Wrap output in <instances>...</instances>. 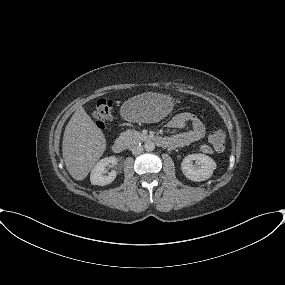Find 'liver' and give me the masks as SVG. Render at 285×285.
Here are the masks:
<instances>
[{
  "instance_id": "liver-1",
  "label": "liver",
  "mask_w": 285,
  "mask_h": 285,
  "mask_svg": "<svg viewBox=\"0 0 285 285\" xmlns=\"http://www.w3.org/2000/svg\"><path fill=\"white\" fill-rule=\"evenodd\" d=\"M106 149V139L80 106L68 122L62 142L63 159L72 178L81 181Z\"/></svg>"
}]
</instances>
